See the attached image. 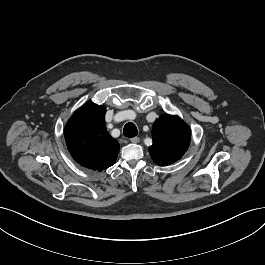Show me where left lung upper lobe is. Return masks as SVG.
Wrapping results in <instances>:
<instances>
[{"instance_id":"5c2ea615","label":"left lung upper lobe","mask_w":265,"mask_h":265,"mask_svg":"<svg viewBox=\"0 0 265 265\" xmlns=\"http://www.w3.org/2000/svg\"><path fill=\"white\" fill-rule=\"evenodd\" d=\"M153 144L149 152L160 166L170 165L179 160L187 151L191 131L178 116L161 115L152 129Z\"/></svg>"}]
</instances>
